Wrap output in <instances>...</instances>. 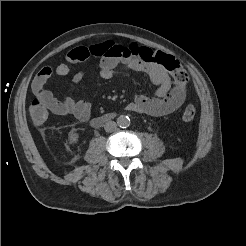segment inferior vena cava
Here are the masks:
<instances>
[{
  "instance_id": "602c4592",
  "label": "inferior vena cava",
  "mask_w": 246,
  "mask_h": 246,
  "mask_svg": "<svg viewBox=\"0 0 246 246\" xmlns=\"http://www.w3.org/2000/svg\"><path fill=\"white\" fill-rule=\"evenodd\" d=\"M117 128V124L114 121H108L104 125V129L106 132H113Z\"/></svg>"
}]
</instances>
